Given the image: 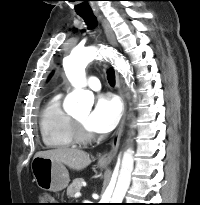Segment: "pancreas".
<instances>
[{
    "label": "pancreas",
    "instance_id": "1",
    "mask_svg": "<svg viewBox=\"0 0 200 205\" xmlns=\"http://www.w3.org/2000/svg\"><path fill=\"white\" fill-rule=\"evenodd\" d=\"M84 180L82 178H76L67 188V196L74 197L76 192H79L82 188Z\"/></svg>",
    "mask_w": 200,
    "mask_h": 205
}]
</instances>
